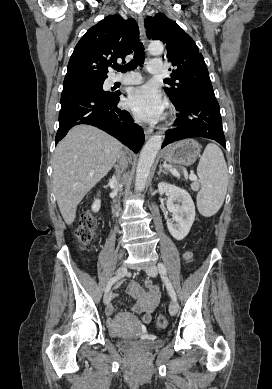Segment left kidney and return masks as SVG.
I'll list each match as a JSON object with an SVG mask.
<instances>
[{"label": "left kidney", "instance_id": "5707ae66", "mask_svg": "<svg viewBox=\"0 0 272 389\" xmlns=\"http://www.w3.org/2000/svg\"><path fill=\"white\" fill-rule=\"evenodd\" d=\"M158 191L160 195L169 194L166 207L174 214L172 221L167 222L170 234L176 240L184 239L195 220V205L190 194L182 188L165 182L158 184Z\"/></svg>", "mask_w": 272, "mask_h": 389}]
</instances>
